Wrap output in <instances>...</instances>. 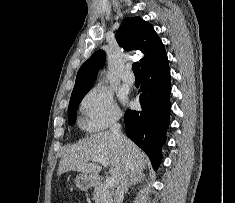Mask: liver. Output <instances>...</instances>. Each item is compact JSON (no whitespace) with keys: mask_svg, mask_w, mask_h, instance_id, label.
I'll return each instance as SVG.
<instances>
[{"mask_svg":"<svg viewBox=\"0 0 235 203\" xmlns=\"http://www.w3.org/2000/svg\"><path fill=\"white\" fill-rule=\"evenodd\" d=\"M94 157H102L108 162L109 173L114 178L115 186L125 167L130 175L139 174L147 163L146 155L134 142L126 138V145H123L111 131H105L93 134L66 148L62 153L57 174L78 171L96 178L102 166L88 162Z\"/></svg>","mask_w":235,"mask_h":203,"instance_id":"liver-1","label":"liver"}]
</instances>
